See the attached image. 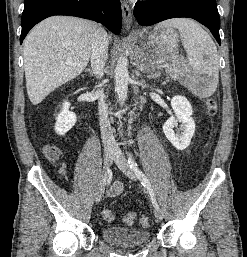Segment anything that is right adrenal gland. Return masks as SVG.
I'll use <instances>...</instances> for the list:
<instances>
[{"instance_id": "obj_1", "label": "right adrenal gland", "mask_w": 247, "mask_h": 257, "mask_svg": "<svg viewBox=\"0 0 247 257\" xmlns=\"http://www.w3.org/2000/svg\"><path fill=\"white\" fill-rule=\"evenodd\" d=\"M85 72H88V73L90 74V76H93V75H94L93 70L90 69V68L85 69Z\"/></svg>"}]
</instances>
